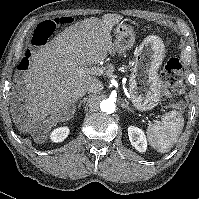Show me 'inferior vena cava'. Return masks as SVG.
I'll return each mask as SVG.
<instances>
[{"label": "inferior vena cava", "instance_id": "602c4592", "mask_svg": "<svg viewBox=\"0 0 199 199\" xmlns=\"http://www.w3.org/2000/svg\"><path fill=\"white\" fill-rule=\"evenodd\" d=\"M103 89V85L101 82L96 81L90 84L87 88V92L89 93H97L100 92Z\"/></svg>", "mask_w": 199, "mask_h": 199}]
</instances>
